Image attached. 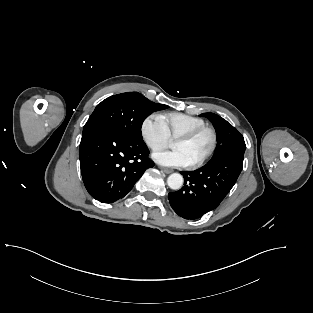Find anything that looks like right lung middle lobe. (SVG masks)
<instances>
[{"mask_svg": "<svg viewBox=\"0 0 313 313\" xmlns=\"http://www.w3.org/2000/svg\"><path fill=\"white\" fill-rule=\"evenodd\" d=\"M167 107L151 102L138 92L113 95L97 105L83 128V134L105 128L130 139L143 140L141 133L143 121L152 112Z\"/></svg>", "mask_w": 313, "mask_h": 313, "instance_id": "1", "label": "right lung middle lobe"}]
</instances>
